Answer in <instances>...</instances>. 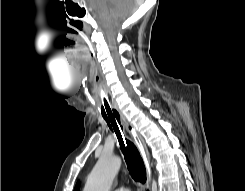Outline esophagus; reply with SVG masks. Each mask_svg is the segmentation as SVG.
Here are the masks:
<instances>
[{
  "label": "esophagus",
  "instance_id": "34e87169",
  "mask_svg": "<svg viewBox=\"0 0 245 191\" xmlns=\"http://www.w3.org/2000/svg\"><path fill=\"white\" fill-rule=\"evenodd\" d=\"M119 115L121 117L122 122L124 123L127 131L129 134L132 136L140 154L143 159L145 168H146V173H147V178H146V184L145 186L147 188H150L151 186V164H150V156L149 152L147 149V146L145 144V141L143 137L140 135V133L136 130V128L133 126V124L127 119V117L119 111Z\"/></svg>",
  "mask_w": 245,
  "mask_h": 191
}]
</instances>
